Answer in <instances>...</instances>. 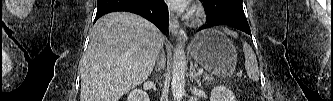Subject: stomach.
Returning <instances> with one entry per match:
<instances>
[{"mask_svg":"<svg viewBox=\"0 0 333 101\" xmlns=\"http://www.w3.org/2000/svg\"><path fill=\"white\" fill-rule=\"evenodd\" d=\"M195 62L214 75L229 77L237 64V52L233 43L218 30L198 33L190 44Z\"/></svg>","mask_w":333,"mask_h":101,"instance_id":"0dacf381","label":"stomach"}]
</instances>
